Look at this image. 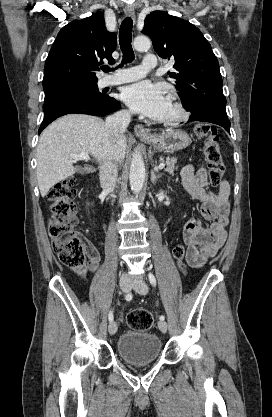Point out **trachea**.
Returning a JSON list of instances; mask_svg holds the SVG:
<instances>
[{
  "label": "trachea",
  "instance_id": "trachea-1",
  "mask_svg": "<svg viewBox=\"0 0 272 417\" xmlns=\"http://www.w3.org/2000/svg\"><path fill=\"white\" fill-rule=\"evenodd\" d=\"M132 26H133V22L132 19L130 17H127L123 20L121 27H120V32H119V44L123 53V60H122V64L120 65V67H122L123 64L131 62L134 60V52L131 46V41H132V35H131V31H132ZM102 70L104 72H109L112 69L108 66H105L102 68Z\"/></svg>",
  "mask_w": 272,
  "mask_h": 417
}]
</instances>
